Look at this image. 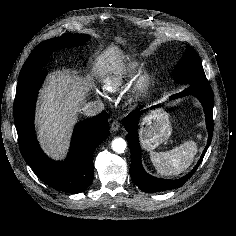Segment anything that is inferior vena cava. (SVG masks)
Here are the masks:
<instances>
[{"mask_svg": "<svg viewBox=\"0 0 236 236\" xmlns=\"http://www.w3.org/2000/svg\"><path fill=\"white\" fill-rule=\"evenodd\" d=\"M104 108V104L101 101H91L83 107V112L86 116L93 117L100 114Z\"/></svg>", "mask_w": 236, "mask_h": 236, "instance_id": "1", "label": "inferior vena cava"}]
</instances>
